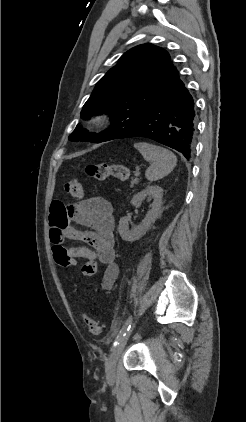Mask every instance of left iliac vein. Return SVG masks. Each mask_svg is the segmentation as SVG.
Here are the masks:
<instances>
[{
	"mask_svg": "<svg viewBox=\"0 0 246 422\" xmlns=\"http://www.w3.org/2000/svg\"><path fill=\"white\" fill-rule=\"evenodd\" d=\"M134 327H135V323L132 324L131 329L126 331V335L121 337L119 343L114 348L108 362L106 363L105 370H106V377L108 381H113L115 379L117 361L120 358L121 353L125 347V344Z\"/></svg>",
	"mask_w": 246,
	"mask_h": 422,
	"instance_id": "4c4485c4",
	"label": "left iliac vein"
}]
</instances>
